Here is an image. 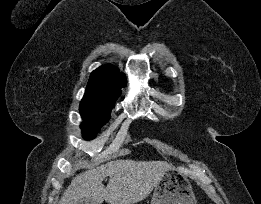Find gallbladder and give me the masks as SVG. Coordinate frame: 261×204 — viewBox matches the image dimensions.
Listing matches in <instances>:
<instances>
[{
  "label": "gallbladder",
  "mask_w": 261,
  "mask_h": 204,
  "mask_svg": "<svg viewBox=\"0 0 261 204\" xmlns=\"http://www.w3.org/2000/svg\"><path fill=\"white\" fill-rule=\"evenodd\" d=\"M77 204H97L93 199H80Z\"/></svg>",
  "instance_id": "obj_1"
}]
</instances>
